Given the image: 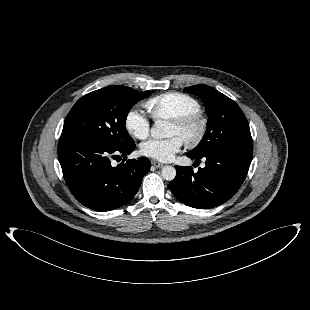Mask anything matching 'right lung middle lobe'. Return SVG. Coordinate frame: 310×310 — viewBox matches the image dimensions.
<instances>
[{"instance_id": "dd1d6c3e", "label": "right lung middle lobe", "mask_w": 310, "mask_h": 310, "mask_svg": "<svg viewBox=\"0 0 310 310\" xmlns=\"http://www.w3.org/2000/svg\"><path fill=\"white\" fill-rule=\"evenodd\" d=\"M151 92H137L126 86L111 85L79 99L68 113L61 141L93 140L125 146L133 139L128 134L125 121L130 109Z\"/></svg>"}]
</instances>
